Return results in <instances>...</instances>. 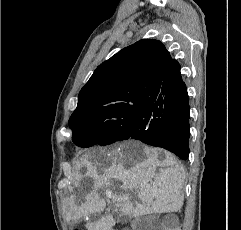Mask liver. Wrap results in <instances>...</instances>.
Returning <instances> with one entry per match:
<instances>
[{"mask_svg": "<svg viewBox=\"0 0 241 230\" xmlns=\"http://www.w3.org/2000/svg\"><path fill=\"white\" fill-rule=\"evenodd\" d=\"M144 154L145 159L140 160ZM163 156L160 158V155ZM86 171L79 173L75 187H82L85 178L92 180V187L86 194V201L78 205L74 199L65 203L67 219H80L98 211L102 200L98 190L110 186V180L121 181L122 190L138 188L141 203L133 206L130 201L120 204V211L137 217L149 213L177 212L182 208L184 195L182 184L185 171L181 163L168 151L152 149L135 141L120 144L103 152L93 161L83 157L78 165ZM159 173L156 174V169ZM114 222L110 216L88 223V230H110Z\"/></svg>", "mask_w": 241, "mask_h": 230, "instance_id": "obj_1", "label": "liver"}]
</instances>
